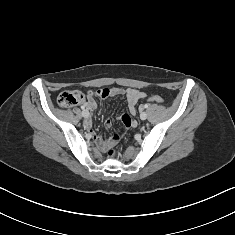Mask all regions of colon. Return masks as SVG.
Here are the masks:
<instances>
[{"instance_id":"colon-1","label":"colon","mask_w":235,"mask_h":235,"mask_svg":"<svg viewBox=\"0 0 235 235\" xmlns=\"http://www.w3.org/2000/svg\"><path fill=\"white\" fill-rule=\"evenodd\" d=\"M97 92L98 91H88L87 95H95ZM102 94L104 95L105 92L103 91ZM83 99L84 93L78 90H70L60 93L58 95L57 102L59 106L63 108H68L79 104ZM148 100L158 104L163 102V99L159 95H151L148 97ZM121 121L126 128H129L132 125V119L128 114L122 115ZM117 139V135H112L105 139L103 146L105 148L106 156L109 158L114 157L116 154L115 143Z\"/></svg>"}]
</instances>
